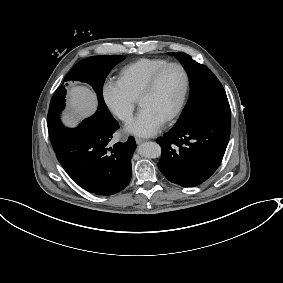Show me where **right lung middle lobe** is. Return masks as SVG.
Listing matches in <instances>:
<instances>
[{"label": "right lung middle lobe", "mask_w": 283, "mask_h": 283, "mask_svg": "<svg viewBox=\"0 0 283 283\" xmlns=\"http://www.w3.org/2000/svg\"><path fill=\"white\" fill-rule=\"evenodd\" d=\"M124 58V56L119 55L86 58L69 71L64 78V82L80 81L91 85L98 96V110L96 113L110 114L102 95L103 84L110 70ZM65 93L66 89L60 86L54 93L49 106L47 123L55 152L62 149L69 137V129L65 128L59 120V114L65 106Z\"/></svg>", "instance_id": "right-lung-middle-lobe-1"}]
</instances>
